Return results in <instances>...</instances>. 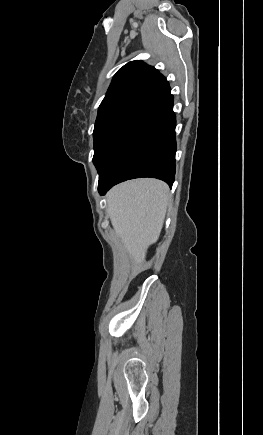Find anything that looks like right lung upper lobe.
<instances>
[{"instance_id": "cb5924a9", "label": "right lung upper lobe", "mask_w": 263, "mask_h": 435, "mask_svg": "<svg viewBox=\"0 0 263 435\" xmlns=\"http://www.w3.org/2000/svg\"><path fill=\"white\" fill-rule=\"evenodd\" d=\"M168 87L158 70L142 61H131L115 74L99 108L120 103L144 105Z\"/></svg>"}]
</instances>
